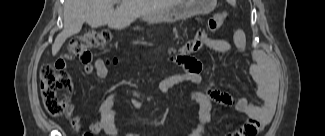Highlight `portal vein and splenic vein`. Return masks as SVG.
<instances>
[{
	"mask_svg": "<svg viewBox=\"0 0 325 136\" xmlns=\"http://www.w3.org/2000/svg\"><path fill=\"white\" fill-rule=\"evenodd\" d=\"M115 2L119 3V0H115Z\"/></svg>",
	"mask_w": 325,
	"mask_h": 136,
	"instance_id": "portal-vein-and-splenic-vein-1",
	"label": "portal vein and splenic vein"
}]
</instances>
